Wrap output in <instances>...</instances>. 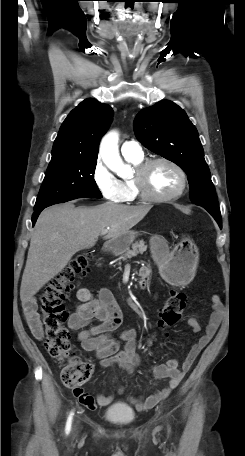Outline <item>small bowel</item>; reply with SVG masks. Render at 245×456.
Returning <instances> with one entry per match:
<instances>
[{
    "mask_svg": "<svg viewBox=\"0 0 245 456\" xmlns=\"http://www.w3.org/2000/svg\"><path fill=\"white\" fill-rule=\"evenodd\" d=\"M150 274V267L141 268L140 275L145 281ZM79 305L69 318V328L78 331L77 340L86 351L94 352L100 360L102 367L119 366L132 372L139 364L140 359L136 352L137 331L128 328L117 335L114 332L121 326L122 312L109 289H101L94 295L88 288H80L77 292ZM212 313L205 327L203 335L191 346L182 366L176 358H171L166 364L153 366L156 379L168 378V385L155 391L143 399L129 396L128 401L138 410L152 408L175 389L189 371L194 361L215 335L223 317L224 306L218 295H212ZM25 320L32 334L42 339L43 331L37 313V304L34 299L27 300L23 305ZM96 320L98 324L91 325ZM188 324L194 332H199L201 327L195 318H189ZM123 343V345H121ZM74 396L79 402L89 409H96L110 404L114 396L99 394L96 397L86 393L83 388H75ZM123 393V388H118V394Z\"/></svg>",
    "mask_w": 245,
    "mask_h": 456,
    "instance_id": "obj_1",
    "label": "small bowel"
}]
</instances>
